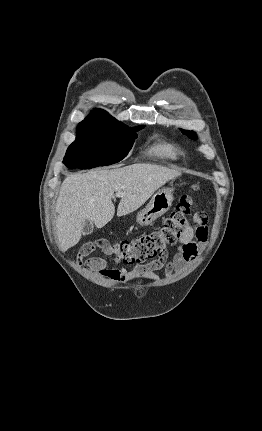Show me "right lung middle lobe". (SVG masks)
Returning <instances> with one entry per match:
<instances>
[{"label":"right lung middle lobe","instance_id":"obj_1","mask_svg":"<svg viewBox=\"0 0 262 431\" xmlns=\"http://www.w3.org/2000/svg\"><path fill=\"white\" fill-rule=\"evenodd\" d=\"M119 121L99 125H78L76 140L67 149L63 163L68 168L90 169L117 163L133 146L136 132Z\"/></svg>","mask_w":262,"mask_h":431}]
</instances>
